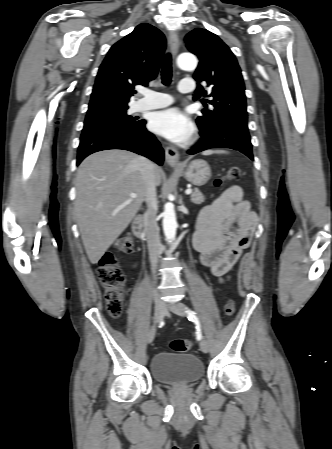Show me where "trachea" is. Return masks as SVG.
Here are the masks:
<instances>
[{
    "label": "trachea",
    "instance_id": "1",
    "mask_svg": "<svg viewBox=\"0 0 332 449\" xmlns=\"http://www.w3.org/2000/svg\"><path fill=\"white\" fill-rule=\"evenodd\" d=\"M161 79L162 83L165 86H168L171 83L172 79V58L168 53L163 61L162 71H161Z\"/></svg>",
    "mask_w": 332,
    "mask_h": 449
}]
</instances>
